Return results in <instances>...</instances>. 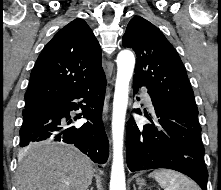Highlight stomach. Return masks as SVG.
I'll return each instance as SVG.
<instances>
[{
	"label": "stomach",
	"instance_id": "0dacf381",
	"mask_svg": "<svg viewBox=\"0 0 221 190\" xmlns=\"http://www.w3.org/2000/svg\"><path fill=\"white\" fill-rule=\"evenodd\" d=\"M137 183L139 185H145V181L143 179H137Z\"/></svg>",
	"mask_w": 221,
	"mask_h": 190
}]
</instances>
